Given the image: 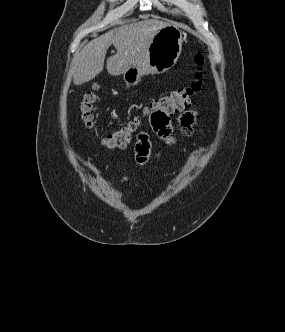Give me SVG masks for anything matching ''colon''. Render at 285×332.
I'll return each mask as SVG.
<instances>
[{"mask_svg":"<svg viewBox=\"0 0 285 332\" xmlns=\"http://www.w3.org/2000/svg\"><path fill=\"white\" fill-rule=\"evenodd\" d=\"M204 63L203 55L195 56V64L197 65L196 80L190 86L173 90L169 93L161 95L155 99L145 111L148 117L149 111H175V115L192 105L195 95L200 91L202 85V66ZM94 86L92 90L86 91L80 103V116L84 125L88 129H94V106L97 100L96 90ZM140 119L135 118L120 128L106 134L102 138V144L108 149L125 148L131 141L133 135L140 127Z\"/></svg>","mask_w":285,"mask_h":332,"instance_id":"1","label":"colon"}]
</instances>
